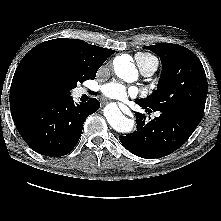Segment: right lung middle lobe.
<instances>
[{
  "mask_svg": "<svg viewBox=\"0 0 221 221\" xmlns=\"http://www.w3.org/2000/svg\"><path fill=\"white\" fill-rule=\"evenodd\" d=\"M95 75H86L75 72L71 68H63L48 75V81L61 85L65 89L66 95H70V90L77 86V82L82 83L87 79H94Z\"/></svg>",
  "mask_w": 221,
  "mask_h": 221,
  "instance_id": "1",
  "label": "right lung middle lobe"
}]
</instances>
